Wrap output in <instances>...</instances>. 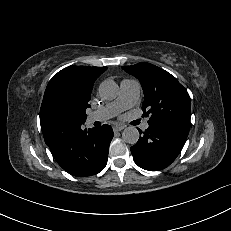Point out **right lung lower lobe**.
I'll list each match as a JSON object with an SVG mask.
<instances>
[{
	"instance_id": "1",
	"label": "right lung lower lobe",
	"mask_w": 231,
	"mask_h": 231,
	"mask_svg": "<svg viewBox=\"0 0 231 231\" xmlns=\"http://www.w3.org/2000/svg\"><path fill=\"white\" fill-rule=\"evenodd\" d=\"M112 138L113 130L109 125L87 130L79 124L69 129L64 140L51 146L50 150L65 171L86 177L104 169Z\"/></svg>"
}]
</instances>
